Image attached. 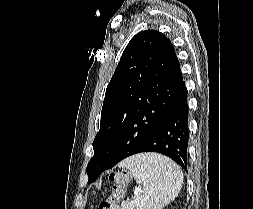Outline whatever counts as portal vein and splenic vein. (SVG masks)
<instances>
[{
    "label": "portal vein and splenic vein",
    "mask_w": 253,
    "mask_h": 209,
    "mask_svg": "<svg viewBox=\"0 0 253 209\" xmlns=\"http://www.w3.org/2000/svg\"><path fill=\"white\" fill-rule=\"evenodd\" d=\"M139 192H140V189L135 190V193H136V194L139 193Z\"/></svg>",
    "instance_id": "1"
}]
</instances>
